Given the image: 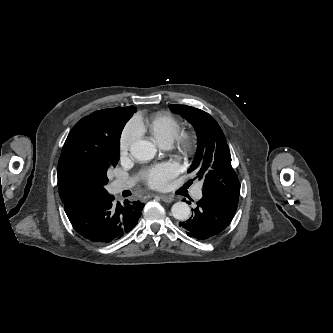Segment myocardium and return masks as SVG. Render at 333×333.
<instances>
[{"instance_id": "obj_1", "label": "myocardium", "mask_w": 333, "mask_h": 333, "mask_svg": "<svg viewBox=\"0 0 333 333\" xmlns=\"http://www.w3.org/2000/svg\"><path fill=\"white\" fill-rule=\"evenodd\" d=\"M177 150L185 157L192 156L197 148V138L192 132H182L176 139Z\"/></svg>"}]
</instances>
